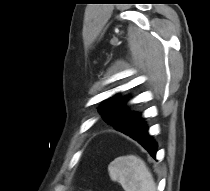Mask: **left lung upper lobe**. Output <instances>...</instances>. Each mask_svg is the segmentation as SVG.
<instances>
[{"label": "left lung upper lobe", "instance_id": "1", "mask_svg": "<svg viewBox=\"0 0 210 191\" xmlns=\"http://www.w3.org/2000/svg\"><path fill=\"white\" fill-rule=\"evenodd\" d=\"M127 101L126 97L120 98L116 94L99 109L105 122L125 134H129L142 125L141 119L136 116L137 113L126 111L127 107L125 105Z\"/></svg>", "mask_w": 210, "mask_h": 191}]
</instances>
